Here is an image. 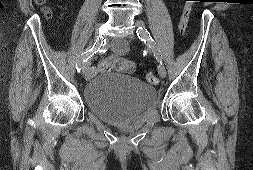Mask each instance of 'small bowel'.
I'll return each instance as SVG.
<instances>
[{"label":"small bowel","instance_id":"small-bowel-1","mask_svg":"<svg viewBox=\"0 0 253 170\" xmlns=\"http://www.w3.org/2000/svg\"><path fill=\"white\" fill-rule=\"evenodd\" d=\"M119 46H120L122 49H125V48H126V44H125V43H120ZM115 57H117L118 59L115 61L114 66H113V69H118V70H120V71H123L124 66H125L126 64L134 65V63H133L132 61H130V60L124 58V57H121V56H115ZM95 71H96V70L93 68V69L91 70V75H93V74L95 73Z\"/></svg>","mask_w":253,"mask_h":170}]
</instances>
